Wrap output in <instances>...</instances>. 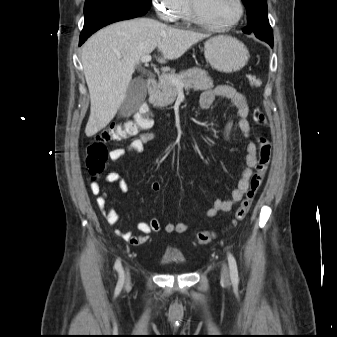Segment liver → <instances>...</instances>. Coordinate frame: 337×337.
Segmentation results:
<instances>
[{
  "mask_svg": "<svg viewBox=\"0 0 337 337\" xmlns=\"http://www.w3.org/2000/svg\"><path fill=\"white\" fill-rule=\"evenodd\" d=\"M205 37L149 18L117 22L91 36L81 56L91 101L86 135H95L115 117L141 57L158 48L160 63L178 59Z\"/></svg>",
  "mask_w": 337,
  "mask_h": 337,
  "instance_id": "6515ba94",
  "label": "liver"
}]
</instances>
